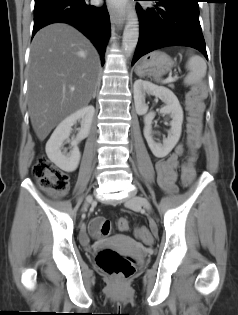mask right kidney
<instances>
[{
    "label": "right kidney",
    "mask_w": 238,
    "mask_h": 315,
    "mask_svg": "<svg viewBox=\"0 0 238 315\" xmlns=\"http://www.w3.org/2000/svg\"><path fill=\"white\" fill-rule=\"evenodd\" d=\"M94 113V107L89 105L69 115L57 126L46 143L48 158L61 170L73 172L77 169L81 158L78 144L89 135ZM77 121H80L81 127L76 138L71 141L72 150L67 153L63 150V143L70 142V132Z\"/></svg>",
    "instance_id": "1"
}]
</instances>
